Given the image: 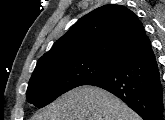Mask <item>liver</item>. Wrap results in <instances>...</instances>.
Instances as JSON below:
<instances>
[{
    "instance_id": "1",
    "label": "liver",
    "mask_w": 165,
    "mask_h": 120,
    "mask_svg": "<svg viewBox=\"0 0 165 120\" xmlns=\"http://www.w3.org/2000/svg\"><path fill=\"white\" fill-rule=\"evenodd\" d=\"M32 120H141L124 102L98 87L74 88Z\"/></svg>"
}]
</instances>
